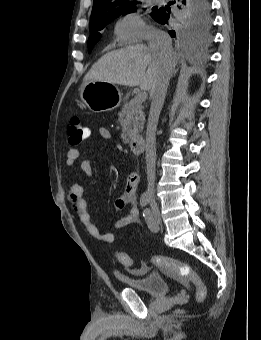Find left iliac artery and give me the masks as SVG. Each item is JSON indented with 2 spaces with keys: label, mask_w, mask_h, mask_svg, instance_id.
Masks as SVG:
<instances>
[{
  "label": "left iliac artery",
  "mask_w": 261,
  "mask_h": 340,
  "mask_svg": "<svg viewBox=\"0 0 261 340\" xmlns=\"http://www.w3.org/2000/svg\"><path fill=\"white\" fill-rule=\"evenodd\" d=\"M143 217L145 218L148 227H149L151 230H153L155 224H154V220H153L151 211H150L148 208L144 209V211H143Z\"/></svg>",
  "instance_id": "left-iliac-artery-1"
}]
</instances>
